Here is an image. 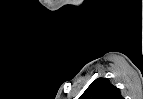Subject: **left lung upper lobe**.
<instances>
[{"instance_id": "5c2ea615", "label": "left lung upper lobe", "mask_w": 143, "mask_h": 99, "mask_svg": "<svg viewBox=\"0 0 143 99\" xmlns=\"http://www.w3.org/2000/svg\"><path fill=\"white\" fill-rule=\"evenodd\" d=\"M80 99H122L120 90L106 78H97Z\"/></svg>"}]
</instances>
